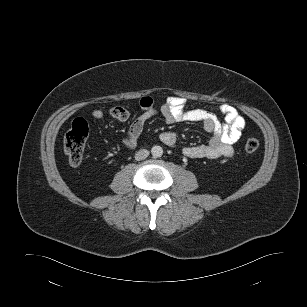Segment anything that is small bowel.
Returning a JSON list of instances; mask_svg holds the SVG:
<instances>
[{
    "instance_id": "small-bowel-1",
    "label": "small bowel",
    "mask_w": 307,
    "mask_h": 307,
    "mask_svg": "<svg viewBox=\"0 0 307 307\" xmlns=\"http://www.w3.org/2000/svg\"><path fill=\"white\" fill-rule=\"evenodd\" d=\"M142 110L130 125L124 138V145L128 149L136 147L139 136L145 124L155 115L161 114L168 124L178 122H198L210 133L211 137L207 144L187 146L183 149V154L191 159H217L221 157L229 158L233 155V145L241 137L245 127V119L231 105L223 104L220 111L224 115V123L220 122L216 115L204 109H186V100L182 97L171 96L165 100L159 110L155 108L151 97H143L139 102ZM110 115L120 121L125 122L129 119L128 109L122 106L113 107ZM91 116L94 120H101L104 113L93 110ZM160 140L167 146H175L177 135L174 132H164Z\"/></svg>"
}]
</instances>
